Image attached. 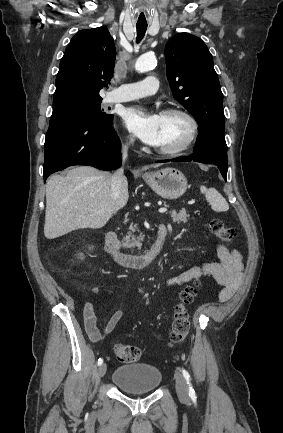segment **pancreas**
I'll use <instances>...</instances> for the list:
<instances>
[{
	"label": "pancreas",
	"mask_w": 283,
	"mask_h": 433,
	"mask_svg": "<svg viewBox=\"0 0 283 433\" xmlns=\"http://www.w3.org/2000/svg\"><path fill=\"white\" fill-rule=\"evenodd\" d=\"M167 206V204H165ZM171 217L173 219V223H187V217H189V214H187V210L185 208H181L180 212H176V210H170ZM135 233L134 227H130L129 233L125 239L126 245H129V247H141V241L144 239V237H135L133 235Z\"/></svg>",
	"instance_id": "pancreas-1"
}]
</instances>
